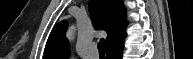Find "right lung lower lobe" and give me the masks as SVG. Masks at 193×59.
Here are the masks:
<instances>
[{
  "instance_id": "right-lung-lower-lobe-1",
  "label": "right lung lower lobe",
  "mask_w": 193,
  "mask_h": 59,
  "mask_svg": "<svg viewBox=\"0 0 193 59\" xmlns=\"http://www.w3.org/2000/svg\"><path fill=\"white\" fill-rule=\"evenodd\" d=\"M123 47H124V39L108 47L106 50L107 52L106 59H122Z\"/></svg>"
}]
</instances>
